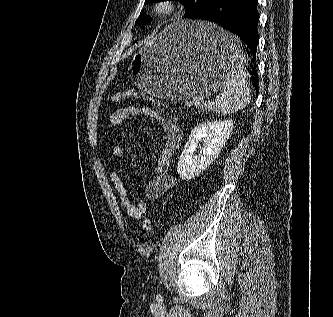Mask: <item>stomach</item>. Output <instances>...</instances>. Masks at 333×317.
Returning <instances> with one entry per match:
<instances>
[{"instance_id": "obj_1", "label": "stomach", "mask_w": 333, "mask_h": 317, "mask_svg": "<svg viewBox=\"0 0 333 317\" xmlns=\"http://www.w3.org/2000/svg\"><path fill=\"white\" fill-rule=\"evenodd\" d=\"M244 45L231 29L204 21L172 23L132 57L135 84L155 97L184 101L218 91L230 74L248 62Z\"/></svg>"}]
</instances>
